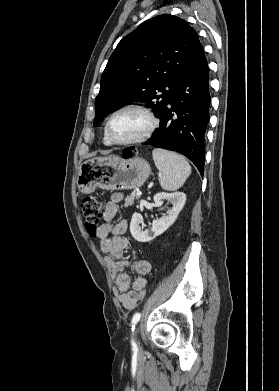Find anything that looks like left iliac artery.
<instances>
[{
	"mask_svg": "<svg viewBox=\"0 0 279 391\" xmlns=\"http://www.w3.org/2000/svg\"><path fill=\"white\" fill-rule=\"evenodd\" d=\"M140 317H141V314L140 313H135L133 318H132V331H134L135 329V325L137 324V322L140 320ZM132 346L134 348H136V343L134 342V340H132Z\"/></svg>",
	"mask_w": 279,
	"mask_h": 391,
	"instance_id": "1",
	"label": "left iliac artery"
}]
</instances>
